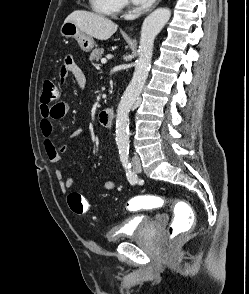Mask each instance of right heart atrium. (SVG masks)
Returning <instances> with one entry per match:
<instances>
[{
  "mask_svg": "<svg viewBox=\"0 0 249 294\" xmlns=\"http://www.w3.org/2000/svg\"><path fill=\"white\" fill-rule=\"evenodd\" d=\"M120 1V7L124 8L127 4L126 0H119Z\"/></svg>",
  "mask_w": 249,
  "mask_h": 294,
  "instance_id": "obj_1",
  "label": "right heart atrium"
}]
</instances>
